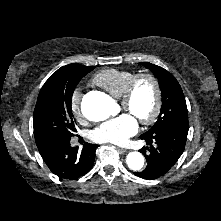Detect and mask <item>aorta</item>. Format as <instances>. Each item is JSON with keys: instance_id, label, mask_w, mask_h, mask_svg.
Masks as SVG:
<instances>
[{"instance_id": "762f6f07", "label": "aorta", "mask_w": 221, "mask_h": 221, "mask_svg": "<svg viewBox=\"0 0 221 221\" xmlns=\"http://www.w3.org/2000/svg\"><path fill=\"white\" fill-rule=\"evenodd\" d=\"M83 115L91 121H103L116 111L115 102L104 93L87 95L81 104ZM126 163L132 170H140L144 166V157L139 152H130Z\"/></svg>"}]
</instances>
